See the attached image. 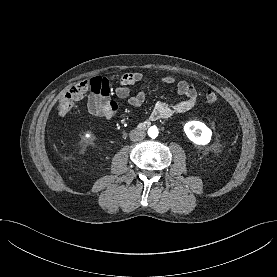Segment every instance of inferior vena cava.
Instances as JSON below:
<instances>
[{
    "mask_svg": "<svg viewBox=\"0 0 277 277\" xmlns=\"http://www.w3.org/2000/svg\"><path fill=\"white\" fill-rule=\"evenodd\" d=\"M129 136L131 141L137 142L143 140L146 134L143 130L135 129L130 132Z\"/></svg>",
    "mask_w": 277,
    "mask_h": 277,
    "instance_id": "602c4592",
    "label": "inferior vena cava"
}]
</instances>
